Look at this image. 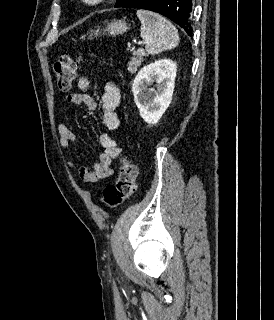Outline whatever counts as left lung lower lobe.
Segmentation results:
<instances>
[{
  "label": "left lung lower lobe",
  "instance_id": "1",
  "mask_svg": "<svg viewBox=\"0 0 274 320\" xmlns=\"http://www.w3.org/2000/svg\"><path fill=\"white\" fill-rule=\"evenodd\" d=\"M121 7L139 8L160 13L192 33V0H128Z\"/></svg>",
  "mask_w": 274,
  "mask_h": 320
}]
</instances>
